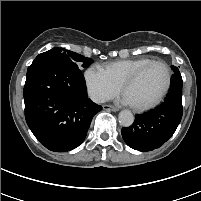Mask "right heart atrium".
Here are the masks:
<instances>
[{"mask_svg":"<svg viewBox=\"0 0 201 201\" xmlns=\"http://www.w3.org/2000/svg\"><path fill=\"white\" fill-rule=\"evenodd\" d=\"M84 80L90 98L97 103L109 100L120 90V86L100 65L89 66L84 73Z\"/></svg>","mask_w":201,"mask_h":201,"instance_id":"right-heart-atrium-1","label":"right heart atrium"}]
</instances>
